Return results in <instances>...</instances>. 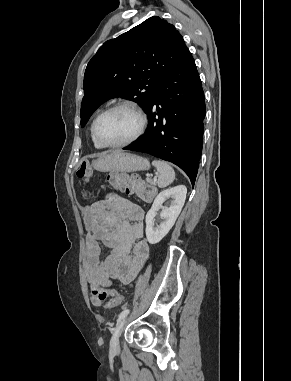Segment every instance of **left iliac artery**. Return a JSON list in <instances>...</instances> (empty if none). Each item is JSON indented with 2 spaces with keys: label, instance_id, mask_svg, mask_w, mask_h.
I'll return each instance as SVG.
<instances>
[{
  "label": "left iliac artery",
  "instance_id": "44dca946",
  "mask_svg": "<svg viewBox=\"0 0 291 381\" xmlns=\"http://www.w3.org/2000/svg\"><path fill=\"white\" fill-rule=\"evenodd\" d=\"M129 309H125V310H123L120 314H119V318H118V321H120L122 318H124L125 316H127L128 315V313H129Z\"/></svg>",
  "mask_w": 291,
  "mask_h": 381
}]
</instances>
